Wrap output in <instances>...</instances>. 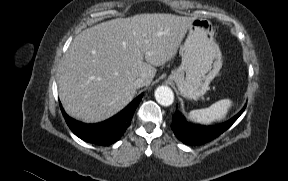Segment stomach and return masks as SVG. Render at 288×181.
I'll list each match as a JSON object with an SVG mask.
<instances>
[{
	"label": "stomach",
	"mask_w": 288,
	"mask_h": 181,
	"mask_svg": "<svg viewBox=\"0 0 288 181\" xmlns=\"http://www.w3.org/2000/svg\"><path fill=\"white\" fill-rule=\"evenodd\" d=\"M181 56V65L171 72L168 80L176 83L183 97L199 99L207 92L222 66V54L209 20L193 18Z\"/></svg>",
	"instance_id": "0dacf381"
}]
</instances>
